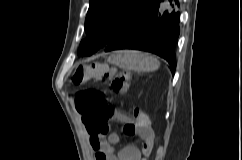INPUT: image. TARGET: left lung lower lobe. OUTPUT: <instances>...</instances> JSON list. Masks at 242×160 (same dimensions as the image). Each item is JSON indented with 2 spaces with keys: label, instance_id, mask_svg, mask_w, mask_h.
<instances>
[{
  "label": "left lung lower lobe",
  "instance_id": "left-lung-lower-lobe-1",
  "mask_svg": "<svg viewBox=\"0 0 242 160\" xmlns=\"http://www.w3.org/2000/svg\"><path fill=\"white\" fill-rule=\"evenodd\" d=\"M178 6V0H152L131 25L107 44L105 51L152 52L167 60L174 73L175 45L180 32Z\"/></svg>",
  "mask_w": 242,
  "mask_h": 160
}]
</instances>
